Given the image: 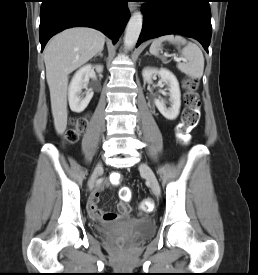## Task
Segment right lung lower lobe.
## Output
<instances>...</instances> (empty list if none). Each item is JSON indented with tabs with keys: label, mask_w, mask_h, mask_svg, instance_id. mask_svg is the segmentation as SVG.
<instances>
[{
	"label": "right lung lower lobe",
	"mask_w": 258,
	"mask_h": 275,
	"mask_svg": "<svg viewBox=\"0 0 258 275\" xmlns=\"http://www.w3.org/2000/svg\"><path fill=\"white\" fill-rule=\"evenodd\" d=\"M128 0H42L39 35L41 51L56 33L71 27L98 29L118 41L130 17Z\"/></svg>",
	"instance_id": "1"
}]
</instances>
